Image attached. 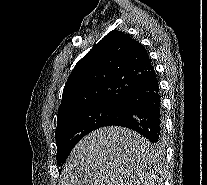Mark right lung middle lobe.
<instances>
[{
    "instance_id": "right-lung-middle-lobe-1",
    "label": "right lung middle lobe",
    "mask_w": 207,
    "mask_h": 185,
    "mask_svg": "<svg viewBox=\"0 0 207 185\" xmlns=\"http://www.w3.org/2000/svg\"><path fill=\"white\" fill-rule=\"evenodd\" d=\"M120 108V105L102 104L59 121L55 133L58 149L57 165L63 166L78 141L93 130L106 126L110 120L117 116Z\"/></svg>"
}]
</instances>
